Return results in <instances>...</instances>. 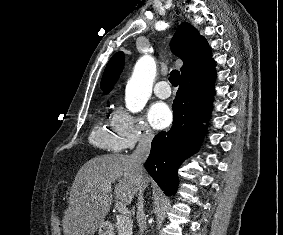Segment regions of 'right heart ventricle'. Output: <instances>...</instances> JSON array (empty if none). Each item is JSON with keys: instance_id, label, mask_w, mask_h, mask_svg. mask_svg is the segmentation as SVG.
<instances>
[{"instance_id": "1", "label": "right heart ventricle", "mask_w": 283, "mask_h": 235, "mask_svg": "<svg viewBox=\"0 0 283 235\" xmlns=\"http://www.w3.org/2000/svg\"><path fill=\"white\" fill-rule=\"evenodd\" d=\"M90 141L96 147L108 152L117 153L122 149L120 134L114 125L113 118L104 116L93 127L90 134Z\"/></svg>"}]
</instances>
